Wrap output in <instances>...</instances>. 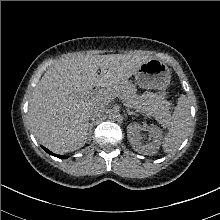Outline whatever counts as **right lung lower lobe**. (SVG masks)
I'll use <instances>...</instances> for the list:
<instances>
[{"label":"right lung lower lobe","mask_w":220,"mask_h":220,"mask_svg":"<svg viewBox=\"0 0 220 220\" xmlns=\"http://www.w3.org/2000/svg\"><path fill=\"white\" fill-rule=\"evenodd\" d=\"M48 154L50 155H53V156H56V157H59V158H66V157H63V156H60V155H56L54 153H52L51 151H49L48 149H46L45 147H42Z\"/></svg>","instance_id":"obj_1"}]
</instances>
